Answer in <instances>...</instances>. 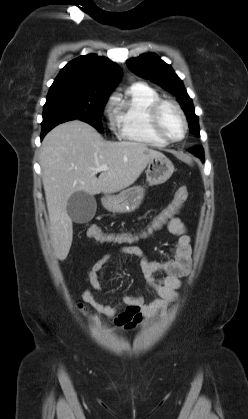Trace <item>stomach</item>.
<instances>
[{
  "instance_id": "1",
  "label": "stomach",
  "mask_w": 248,
  "mask_h": 419,
  "mask_svg": "<svg viewBox=\"0 0 248 419\" xmlns=\"http://www.w3.org/2000/svg\"><path fill=\"white\" fill-rule=\"evenodd\" d=\"M174 172L172 162L165 156L153 157L146 169V180L149 185H159L166 182ZM145 195L142 186H134L120 192L118 195L107 196L103 199L104 207L117 213H128L136 210Z\"/></svg>"
}]
</instances>
